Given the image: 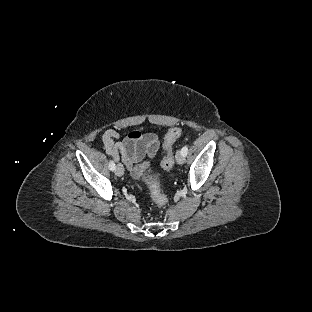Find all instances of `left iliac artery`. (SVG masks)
I'll return each mask as SVG.
<instances>
[{
    "mask_svg": "<svg viewBox=\"0 0 312 312\" xmlns=\"http://www.w3.org/2000/svg\"><path fill=\"white\" fill-rule=\"evenodd\" d=\"M181 152H182L183 156H186V155H187V153H188V147H187V145L184 146V147L181 149Z\"/></svg>",
    "mask_w": 312,
    "mask_h": 312,
    "instance_id": "left-iliac-artery-1",
    "label": "left iliac artery"
}]
</instances>
